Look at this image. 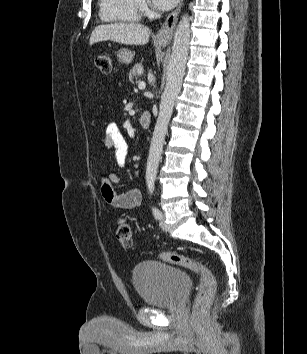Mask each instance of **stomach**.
<instances>
[{
  "label": "stomach",
  "mask_w": 307,
  "mask_h": 354,
  "mask_svg": "<svg viewBox=\"0 0 307 354\" xmlns=\"http://www.w3.org/2000/svg\"><path fill=\"white\" fill-rule=\"evenodd\" d=\"M157 44L160 45V46H165L167 45L168 43V39H158L157 41ZM133 52L128 50V49H120L118 52H117V58L118 60L121 62V63H124V64H129L132 62L133 60Z\"/></svg>",
  "instance_id": "obj_1"
}]
</instances>
